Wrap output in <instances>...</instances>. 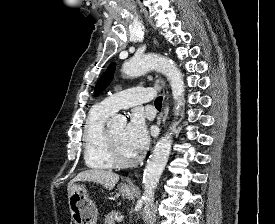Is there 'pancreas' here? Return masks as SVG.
<instances>
[{
	"label": "pancreas",
	"mask_w": 275,
	"mask_h": 224,
	"mask_svg": "<svg viewBox=\"0 0 275 224\" xmlns=\"http://www.w3.org/2000/svg\"><path fill=\"white\" fill-rule=\"evenodd\" d=\"M116 212L112 211L105 216V224H116Z\"/></svg>",
	"instance_id": "cf45deb5"
}]
</instances>
